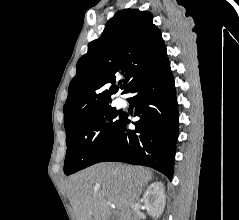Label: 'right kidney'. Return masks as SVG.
Instances as JSON below:
<instances>
[{
  "label": "right kidney",
  "mask_w": 239,
  "mask_h": 220,
  "mask_svg": "<svg viewBox=\"0 0 239 220\" xmlns=\"http://www.w3.org/2000/svg\"><path fill=\"white\" fill-rule=\"evenodd\" d=\"M143 201L148 213L153 218H158L162 214L165 204L166 195L165 187L162 182L152 183L143 195Z\"/></svg>",
  "instance_id": "1"
}]
</instances>
